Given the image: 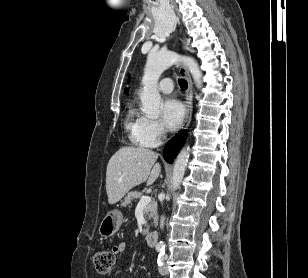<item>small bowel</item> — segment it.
Returning <instances> with one entry per match:
<instances>
[{
    "mask_svg": "<svg viewBox=\"0 0 308 278\" xmlns=\"http://www.w3.org/2000/svg\"><path fill=\"white\" fill-rule=\"evenodd\" d=\"M126 242H119L118 244L114 245L111 249L114 255H119L126 250Z\"/></svg>",
    "mask_w": 308,
    "mask_h": 278,
    "instance_id": "obj_1",
    "label": "small bowel"
}]
</instances>
